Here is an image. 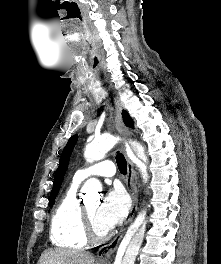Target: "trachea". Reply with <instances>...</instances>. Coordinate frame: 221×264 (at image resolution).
Segmentation results:
<instances>
[{
	"label": "trachea",
	"mask_w": 221,
	"mask_h": 264,
	"mask_svg": "<svg viewBox=\"0 0 221 264\" xmlns=\"http://www.w3.org/2000/svg\"><path fill=\"white\" fill-rule=\"evenodd\" d=\"M116 161H117V164H118L119 171L123 175H126V173H127V163H126L125 157L122 155V153H117Z\"/></svg>",
	"instance_id": "3493384b"
}]
</instances>
